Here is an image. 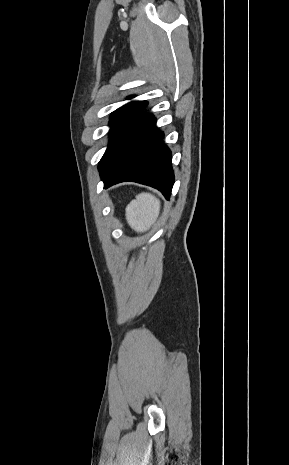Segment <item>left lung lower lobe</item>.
I'll use <instances>...</instances> for the list:
<instances>
[{
	"label": "left lung lower lobe",
	"mask_w": 289,
	"mask_h": 465,
	"mask_svg": "<svg viewBox=\"0 0 289 465\" xmlns=\"http://www.w3.org/2000/svg\"><path fill=\"white\" fill-rule=\"evenodd\" d=\"M153 115L140 114L131 130L99 164L104 188L124 181L152 186L169 199L174 184L171 151Z\"/></svg>",
	"instance_id": "left-lung-lower-lobe-1"
}]
</instances>
